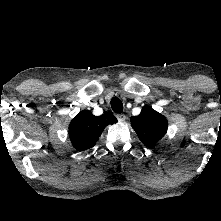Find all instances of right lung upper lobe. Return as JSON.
Instances as JSON below:
<instances>
[{
  "mask_svg": "<svg viewBox=\"0 0 221 221\" xmlns=\"http://www.w3.org/2000/svg\"><path fill=\"white\" fill-rule=\"evenodd\" d=\"M117 119L109 112L94 116L90 111H81L69 124V137L78 151L93 147L104 128Z\"/></svg>",
  "mask_w": 221,
  "mask_h": 221,
  "instance_id": "obj_1",
  "label": "right lung upper lobe"
}]
</instances>
